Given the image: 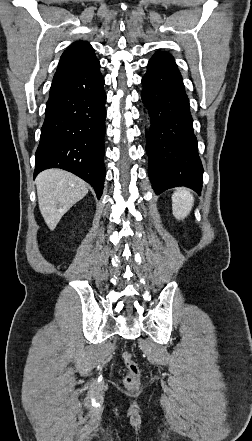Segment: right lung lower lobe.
<instances>
[{"label": "right lung lower lobe", "mask_w": 252, "mask_h": 441, "mask_svg": "<svg viewBox=\"0 0 252 441\" xmlns=\"http://www.w3.org/2000/svg\"><path fill=\"white\" fill-rule=\"evenodd\" d=\"M103 85L99 61L53 80L34 177L45 169L61 168L91 184L100 198L105 178Z\"/></svg>", "instance_id": "right-lung-lower-lobe-1"}]
</instances>
